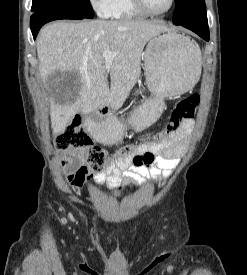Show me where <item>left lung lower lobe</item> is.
Segmentation results:
<instances>
[{
	"label": "left lung lower lobe",
	"instance_id": "0a47b994",
	"mask_svg": "<svg viewBox=\"0 0 247 275\" xmlns=\"http://www.w3.org/2000/svg\"><path fill=\"white\" fill-rule=\"evenodd\" d=\"M176 25V24H175ZM188 28L199 35L206 41H209V28L208 21L207 22H193V23H185V24H177Z\"/></svg>",
	"mask_w": 247,
	"mask_h": 275
}]
</instances>
